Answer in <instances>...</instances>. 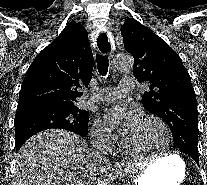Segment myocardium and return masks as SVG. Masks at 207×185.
Listing matches in <instances>:
<instances>
[{"label": "myocardium", "instance_id": "1", "mask_svg": "<svg viewBox=\"0 0 207 185\" xmlns=\"http://www.w3.org/2000/svg\"><path fill=\"white\" fill-rule=\"evenodd\" d=\"M142 119L143 120H151V121H154L157 124H159V126L163 130V133H164V136L166 139L165 148L160 152H141V151L134 150L133 148H131L129 141H128L126 135L124 134L122 136V145H123L125 152L131 156L145 157V158H158V157L165 156L167 154L168 148L172 142V137H171V133H170V129H169L168 125L160 117L154 116V115H146V116H143Z\"/></svg>", "mask_w": 207, "mask_h": 185}]
</instances>
